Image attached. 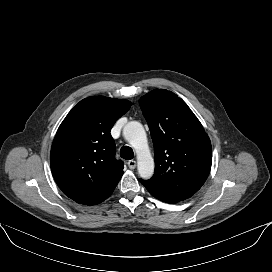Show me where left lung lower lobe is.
<instances>
[{"mask_svg":"<svg viewBox=\"0 0 272 272\" xmlns=\"http://www.w3.org/2000/svg\"><path fill=\"white\" fill-rule=\"evenodd\" d=\"M141 182H142V180H141ZM149 192H150V191H149ZM150 193H151V195H153L155 198H157V199H159V200H161V201H163V202H166V203L174 204V203H177V202L182 201V200L171 199V198H167V197H164V196H160V195L155 194V193H152V192H150Z\"/></svg>","mask_w":272,"mask_h":272,"instance_id":"1","label":"left lung lower lobe"}]
</instances>
